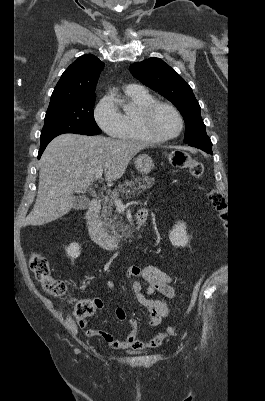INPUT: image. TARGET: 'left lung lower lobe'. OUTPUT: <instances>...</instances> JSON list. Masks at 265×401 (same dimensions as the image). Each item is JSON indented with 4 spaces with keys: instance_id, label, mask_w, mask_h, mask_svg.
Segmentation results:
<instances>
[{
    "instance_id": "0a47b994",
    "label": "left lung lower lobe",
    "mask_w": 265,
    "mask_h": 401,
    "mask_svg": "<svg viewBox=\"0 0 265 401\" xmlns=\"http://www.w3.org/2000/svg\"><path fill=\"white\" fill-rule=\"evenodd\" d=\"M189 145L193 146V147H196V148H199V149H201V150H203V151H205V152H207L209 154H213V152H212V142H211V140H210V138L208 136L204 137L202 139L190 142Z\"/></svg>"
}]
</instances>
